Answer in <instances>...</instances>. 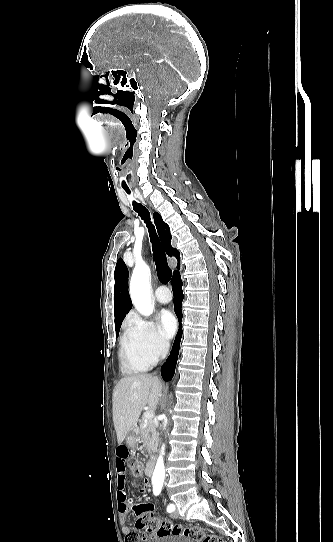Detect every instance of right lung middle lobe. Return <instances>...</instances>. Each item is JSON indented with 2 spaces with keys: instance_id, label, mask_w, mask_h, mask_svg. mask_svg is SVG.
<instances>
[{
  "instance_id": "dd1d6c3e",
  "label": "right lung middle lobe",
  "mask_w": 333,
  "mask_h": 542,
  "mask_svg": "<svg viewBox=\"0 0 333 542\" xmlns=\"http://www.w3.org/2000/svg\"><path fill=\"white\" fill-rule=\"evenodd\" d=\"M120 327H115L116 334L118 335Z\"/></svg>"
}]
</instances>
